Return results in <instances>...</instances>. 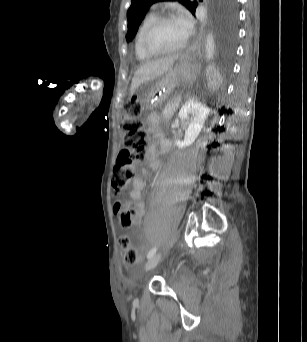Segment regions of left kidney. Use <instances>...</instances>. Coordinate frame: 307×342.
I'll list each match as a JSON object with an SVG mask.
<instances>
[{
  "label": "left kidney",
  "mask_w": 307,
  "mask_h": 342,
  "mask_svg": "<svg viewBox=\"0 0 307 342\" xmlns=\"http://www.w3.org/2000/svg\"><path fill=\"white\" fill-rule=\"evenodd\" d=\"M210 110L195 98H189L182 106L178 116L180 120H187L188 128L185 132L184 140H177L176 146L179 150H183L186 146H191L198 138L204 124L205 120L209 114ZM191 116V118H190Z\"/></svg>",
  "instance_id": "5707ae66"
}]
</instances>
